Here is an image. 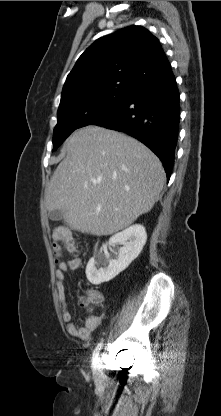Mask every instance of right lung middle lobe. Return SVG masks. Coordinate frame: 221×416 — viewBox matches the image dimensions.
I'll use <instances>...</instances> for the list:
<instances>
[{
  "label": "right lung middle lobe",
  "mask_w": 221,
  "mask_h": 416,
  "mask_svg": "<svg viewBox=\"0 0 221 416\" xmlns=\"http://www.w3.org/2000/svg\"><path fill=\"white\" fill-rule=\"evenodd\" d=\"M131 89L108 88L60 104L54 128L53 151L76 129L108 117Z\"/></svg>",
  "instance_id": "right-lung-middle-lobe-1"
}]
</instances>
